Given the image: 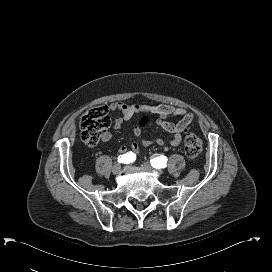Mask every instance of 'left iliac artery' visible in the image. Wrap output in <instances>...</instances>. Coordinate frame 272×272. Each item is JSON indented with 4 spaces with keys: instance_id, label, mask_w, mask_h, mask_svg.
<instances>
[{
    "instance_id": "1",
    "label": "left iliac artery",
    "mask_w": 272,
    "mask_h": 272,
    "mask_svg": "<svg viewBox=\"0 0 272 272\" xmlns=\"http://www.w3.org/2000/svg\"><path fill=\"white\" fill-rule=\"evenodd\" d=\"M151 165L154 168H164L166 167L167 159L165 156H156L151 161Z\"/></svg>"
}]
</instances>
